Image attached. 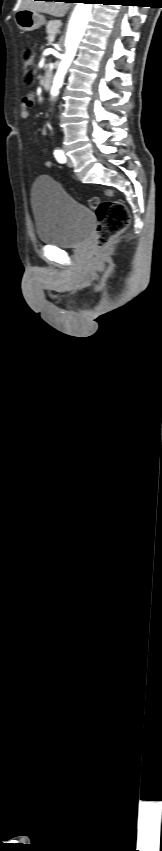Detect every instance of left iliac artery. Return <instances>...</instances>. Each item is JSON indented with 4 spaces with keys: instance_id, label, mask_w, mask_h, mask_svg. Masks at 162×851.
<instances>
[{
    "instance_id": "1",
    "label": "left iliac artery",
    "mask_w": 162,
    "mask_h": 851,
    "mask_svg": "<svg viewBox=\"0 0 162 851\" xmlns=\"http://www.w3.org/2000/svg\"><path fill=\"white\" fill-rule=\"evenodd\" d=\"M54 155H55V157H56V159H57V161H58V162H60V163H65V162H66V158H65L64 153H63V151H62V150H56V151L54 152Z\"/></svg>"
}]
</instances>
